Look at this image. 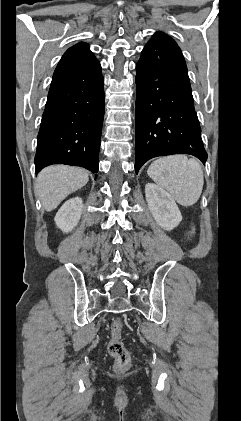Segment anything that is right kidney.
<instances>
[{
	"label": "right kidney",
	"instance_id": "1",
	"mask_svg": "<svg viewBox=\"0 0 241 421\" xmlns=\"http://www.w3.org/2000/svg\"><path fill=\"white\" fill-rule=\"evenodd\" d=\"M83 210V201L79 197L66 201L55 216V223L63 232L72 231L78 224Z\"/></svg>",
	"mask_w": 241,
	"mask_h": 421
}]
</instances>
